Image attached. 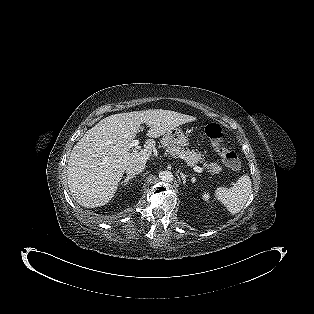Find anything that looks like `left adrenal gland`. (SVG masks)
I'll return each instance as SVG.
<instances>
[{"label":"left adrenal gland","mask_w":314,"mask_h":314,"mask_svg":"<svg viewBox=\"0 0 314 314\" xmlns=\"http://www.w3.org/2000/svg\"><path fill=\"white\" fill-rule=\"evenodd\" d=\"M181 178L183 180V184L186 185V179H187V175L183 174L182 172H180Z\"/></svg>","instance_id":"left-adrenal-gland-1"}]
</instances>
